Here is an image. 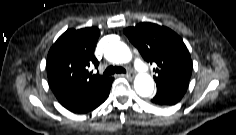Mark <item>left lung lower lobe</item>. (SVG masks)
I'll return each instance as SVG.
<instances>
[{
    "label": "left lung lower lobe",
    "mask_w": 236,
    "mask_h": 135,
    "mask_svg": "<svg viewBox=\"0 0 236 135\" xmlns=\"http://www.w3.org/2000/svg\"><path fill=\"white\" fill-rule=\"evenodd\" d=\"M188 83L187 81H176L157 84V93L151 102L161 106H171L178 103L184 96Z\"/></svg>",
    "instance_id": "obj_1"
}]
</instances>
